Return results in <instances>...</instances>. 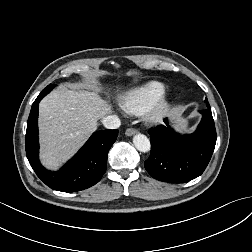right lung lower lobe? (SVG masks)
Here are the masks:
<instances>
[{"label": "right lung lower lobe", "instance_id": "1", "mask_svg": "<svg viewBox=\"0 0 252 252\" xmlns=\"http://www.w3.org/2000/svg\"><path fill=\"white\" fill-rule=\"evenodd\" d=\"M45 95L34 101L27 122L26 156L37 176L50 188L62 192L87 189L100 181L106 171L109 149L116 141L118 130H102L93 133L78 153L59 171L45 169L39 162L38 107Z\"/></svg>", "mask_w": 252, "mask_h": 252}]
</instances>
